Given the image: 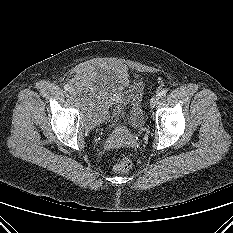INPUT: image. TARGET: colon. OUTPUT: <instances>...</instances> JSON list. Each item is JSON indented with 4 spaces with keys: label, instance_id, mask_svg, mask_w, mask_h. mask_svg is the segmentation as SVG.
Here are the masks:
<instances>
[{
    "label": "colon",
    "instance_id": "1",
    "mask_svg": "<svg viewBox=\"0 0 233 233\" xmlns=\"http://www.w3.org/2000/svg\"><path fill=\"white\" fill-rule=\"evenodd\" d=\"M131 166H132L131 159L128 156L123 155L116 162L113 169L117 173H125L130 170Z\"/></svg>",
    "mask_w": 233,
    "mask_h": 233
}]
</instances>
